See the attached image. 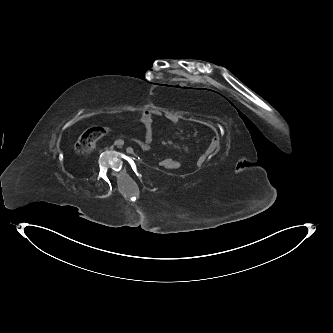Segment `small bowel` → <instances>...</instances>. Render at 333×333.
Listing matches in <instances>:
<instances>
[{
  "mask_svg": "<svg viewBox=\"0 0 333 333\" xmlns=\"http://www.w3.org/2000/svg\"><path fill=\"white\" fill-rule=\"evenodd\" d=\"M158 116V114L152 110H145L142 112L140 120L145 128V140L151 141L153 138V120L154 118ZM171 123H177L179 121V118L177 116L171 115L166 118ZM172 159V158H171ZM207 159V154H202L198 160V165L204 164V162ZM165 160V159H164ZM173 163L170 166H165L164 168L167 170H176L180 168V162L178 160L172 159Z\"/></svg>",
  "mask_w": 333,
  "mask_h": 333,
  "instance_id": "small-bowel-1",
  "label": "small bowel"
}]
</instances>
